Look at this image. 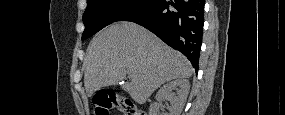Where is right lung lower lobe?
<instances>
[{
  "mask_svg": "<svg viewBox=\"0 0 285 115\" xmlns=\"http://www.w3.org/2000/svg\"><path fill=\"white\" fill-rule=\"evenodd\" d=\"M204 0H155L125 17L183 53L198 71L204 25Z\"/></svg>",
  "mask_w": 285,
  "mask_h": 115,
  "instance_id": "right-lung-lower-lobe-1",
  "label": "right lung lower lobe"
}]
</instances>
